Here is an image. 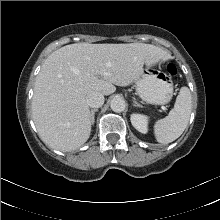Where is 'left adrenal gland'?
I'll return each instance as SVG.
<instances>
[{
	"label": "left adrenal gland",
	"instance_id": "obj_1",
	"mask_svg": "<svg viewBox=\"0 0 220 220\" xmlns=\"http://www.w3.org/2000/svg\"><path fill=\"white\" fill-rule=\"evenodd\" d=\"M134 106H141V105L137 103L136 101H134Z\"/></svg>",
	"mask_w": 220,
	"mask_h": 220
}]
</instances>
